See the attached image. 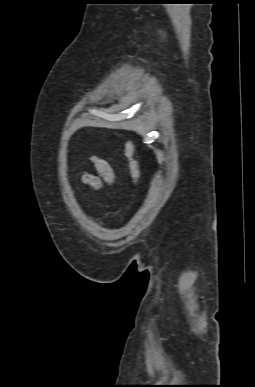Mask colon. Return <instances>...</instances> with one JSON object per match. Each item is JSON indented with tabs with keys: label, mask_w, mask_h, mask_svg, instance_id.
Instances as JSON below:
<instances>
[{
	"label": "colon",
	"mask_w": 255,
	"mask_h": 387,
	"mask_svg": "<svg viewBox=\"0 0 255 387\" xmlns=\"http://www.w3.org/2000/svg\"><path fill=\"white\" fill-rule=\"evenodd\" d=\"M125 156L127 159V167L131 183L134 185L138 182L140 177V170L138 161L135 156V147L131 141H128L125 145Z\"/></svg>",
	"instance_id": "1"
}]
</instances>
